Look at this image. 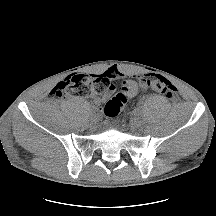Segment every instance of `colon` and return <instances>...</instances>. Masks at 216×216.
<instances>
[{
	"label": "colon",
	"instance_id": "obj_1",
	"mask_svg": "<svg viewBox=\"0 0 216 216\" xmlns=\"http://www.w3.org/2000/svg\"><path fill=\"white\" fill-rule=\"evenodd\" d=\"M144 84L168 100H173L176 96V88L161 76L145 79ZM109 86L110 78L104 74H74L59 82L52 90V94L57 97H66L73 94L95 97L103 94ZM140 87L141 84L138 82L125 84L122 91L105 104L103 108L104 115L107 118H115L125 106L128 98H130V93L139 90Z\"/></svg>",
	"mask_w": 216,
	"mask_h": 216
}]
</instances>
